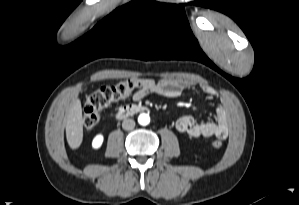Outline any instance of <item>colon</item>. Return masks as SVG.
Returning <instances> with one entry per match:
<instances>
[{
	"mask_svg": "<svg viewBox=\"0 0 299 205\" xmlns=\"http://www.w3.org/2000/svg\"><path fill=\"white\" fill-rule=\"evenodd\" d=\"M141 82L139 79H124L114 86H103L92 92L86 99L84 105L83 125L86 130L94 128L100 119V111L129 97L135 90L139 89ZM214 148H221L222 142L214 140Z\"/></svg>",
	"mask_w": 299,
	"mask_h": 205,
	"instance_id": "1",
	"label": "colon"
}]
</instances>
